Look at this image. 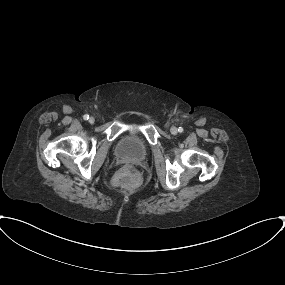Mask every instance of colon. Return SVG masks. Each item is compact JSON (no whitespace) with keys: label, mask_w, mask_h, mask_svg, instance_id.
Masks as SVG:
<instances>
[{"label":"colon","mask_w":285,"mask_h":285,"mask_svg":"<svg viewBox=\"0 0 285 285\" xmlns=\"http://www.w3.org/2000/svg\"><path fill=\"white\" fill-rule=\"evenodd\" d=\"M137 180L136 170L133 165H126L115 175V182L122 186H132Z\"/></svg>","instance_id":"obj_1"}]
</instances>
